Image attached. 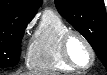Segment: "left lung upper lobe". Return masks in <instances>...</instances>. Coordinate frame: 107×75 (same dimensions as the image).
<instances>
[{"label": "left lung upper lobe", "instance_id": "5c2ea615", "mask_svg": "<svg viewBox=\"0 0 107 75\" xmlns=\"http://www.w3.org/2000/svg\"><path fill=\"white\" fill-rule=\"evenodd\" d=\"M64 17L80 32L107 68V17L103 0H55Z\"/></svg>", "mask_w": 107, "mask_h": 75}]
</instances>
